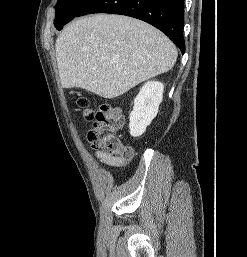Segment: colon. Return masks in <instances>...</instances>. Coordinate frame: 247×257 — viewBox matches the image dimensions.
I'll return each mask as SVG.
<instances>
[{
    "label": "colon",
    "mask_w": 247,
    "mask_h": 257,
    "mask_svg": "<svg viewBox=\"0 0 247 257\" xmlns=\"http://www.w3.org/2000/svg\"><path fill=\"white\" fill-rule=\"evenodd\" d=\"M83 116L92 121V128L88 132V141L94 149L101 150L111 156L130 158L132 149L121 143L117 133L121 129L124 117L122 112L110 104H102L96 111L89 108L86 98L77 99Z\"/></svg>",
    "instance_id": "1"
}]
</instances>
